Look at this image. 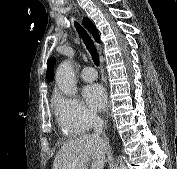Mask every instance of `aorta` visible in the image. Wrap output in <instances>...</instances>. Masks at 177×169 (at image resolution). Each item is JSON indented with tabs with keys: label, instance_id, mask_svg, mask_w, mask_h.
I'll use <instances>...</instances> for the list:
<instances>
[{
	"label": "aorta",
	"instance_id": "aorta-1",
	"mask_svg": "<svg viewBox=\"0 0 177 169\" xmlns=\"http://www.w3.org/2000/svg\"><path fill=\"white\" fill-rule=\"evenodd\" d=\"M55 81L59 90L67 95L73 96L77 92L75 74L72 63L69 60L63 61L56 70ZM115 169H126L121 157L117 159Z\"/></svg>",
	"mask_w": 177,
	"mask_h": 169
}]
</instances>
